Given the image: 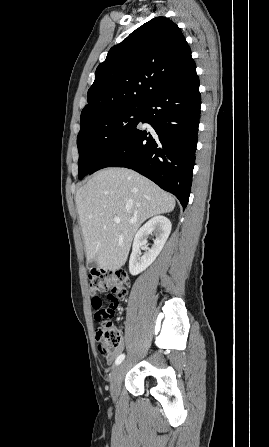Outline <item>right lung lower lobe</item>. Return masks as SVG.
<instances>
[{"mask_svg": "<svg viewBox=\"0 0 269 447\" xmlns=\"http://www.w3.org/2000/svg\"><path fill=\"white\" fill-rule=\"evenodd\" d=\"M143 104L140 122L152 128L136 127L89 174L106 167L133 169L174 194L184 209L192 184L201 106L195 62Z\"/></svg>", "mask_w": 269, "mask_h": 447, "instance_id": "1", "label": "right lung lower lobe"}]
</instances>
